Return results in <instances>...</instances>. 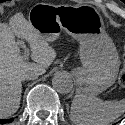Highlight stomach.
Segmentation results:
<instances>
[{
  "mask_svg": "<svg viewBox=\"0 0 125 125\" xmlns=\"http://www.w3.org/2000/svg\"><path fill=\"white\" fill-rule=\"evenodd\" d=\"M88 8L40 3L30 10L28 21L46 42L56 40L62 31L79 42L82 67L73 70L77 90L96 96L115 83L120 60L102 20Z\"/></svg>",
  "mask_w": 125,
  "mask_h": 125,
  "instance_id": "0dacf381",
  "label": "stomach"
}]
</instances>
